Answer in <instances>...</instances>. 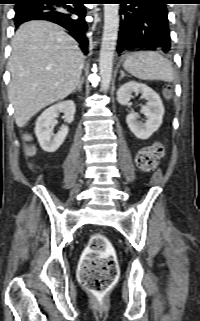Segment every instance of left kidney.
I'll list each match as a JSON object with an SVG mask.
<instances>
[{
	"instance_id": "left-kidney-1",
	"label": "left kidney",
	"mask_w": 200,
	"mask_h": 321,
	"mask_svg": "<svg viewBox=\"0 0 200 321\" xmlns=\"http://www.w3.org/2000/svg\"><path fill=\"white\" fill-rule=\"evenodd\" d=\"M132 93H141L142 97L147 100V104L141 109V112L146 117V122H139L137 113L128 114L126 122L137 138L146 140L160 127L164 115V106L160 96L153 89L134 81L125 83L118 89V102L121 105H127L132 98Z\"/></svg>"
}]
</instances>
